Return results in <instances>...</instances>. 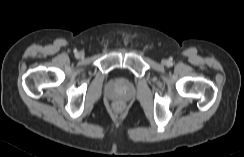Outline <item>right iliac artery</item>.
<instances>
[{
	"mask_svg": "<svg viewBox=\"0 0 244 157\" xmlns=\"http://www.w3.org/2000/svg\"><path fill=\"white\" fill-rule=\"evenodd\" d=\"M74 53L77 54V50L76 49L74 50Z\"/></svg>",
	"mask_w": 244,
	"mask_h": 157,
	"instance_id": "82829eb1",
	"label": "right iliac artery"
}]
</instances>
